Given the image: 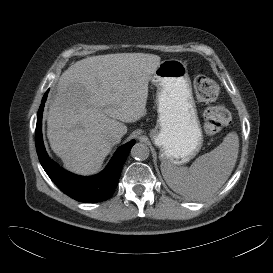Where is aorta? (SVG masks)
I'll return each mask as SVG.
<instances>
[{
    "instance_id": "obj_1",
    "label": "aorta",
    "mask_w": 273,
    "mask_h": 273,
    "mask_svg": "<svg viewBox=\"0 0 273 273\" xmlns=\"http://www.w3.org/2000/svg\"><path fill=\"white\" fill-rule=\"evenodd\" d=\"M149 147L143 143H136L131 148V156L137 160H145L149 157Z\"/></svg>"
}]
</instances>
